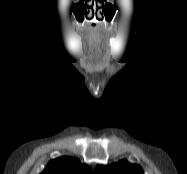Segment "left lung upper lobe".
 Masks as SVG:
<instances>
[{"label":"left lung upper lobe","mask_w":187,"mask_h":174,"mask_svg":"<svg viewBox=\"0 0 187 174\" xmlns=\"http://www.w3.org/2000/svg\"><path fill=\"white\" fill-rule=\"evenodd\" d=\"M94 174H143V170L139 165L123 160L107 166L98 165Z\"/></svg>","instance_id":"left-lung-upper-lobe-1"}]
</instances>
